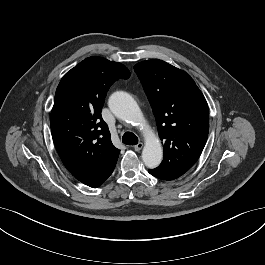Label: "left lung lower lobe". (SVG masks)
Listing matches in <instances>:
<instances>
[{
	"instance_id": "1",
	"label": "left lung lower lobe",
	"mask_w": 265,
	"mask_h": 265,
	"mask_svg": "<svg viewBox=\"0 0 265 265\" xmlns=\"http://www.w3.org/2000/svg\"><path fill=\"white\" fill-rule=\"evenodd\" d=\"M148 172H149L151 175L155 176L156 178H159V179H163V180H165L163 177H161L160 175H158L157 172H156L155 170L149 169Z\"/></svg>"
}]
</instances>
